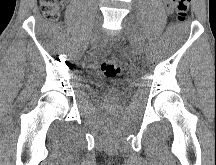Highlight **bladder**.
<instances>
[{"instance_id":"1","label":"bladder","mask_w":216,"mask_h":165,"mask_svg":"<svg viewBox=\"0 0 216 165\" xmlns=\"http://www.w3.org/2000/svg\"><path fill=\"white\" fill-rule=\"evenodd\" d=\"M106 97H118V92H106Z\"/></svg>"}]
</instances>
